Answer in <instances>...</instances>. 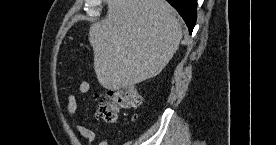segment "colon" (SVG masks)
Listing matches in <instances>:
<instances>
[{
    "mask_svg": "<svg viewBox=\"0 0 276 145\" xmlns=\"http://www.w3.org/2000/svg\"><path fill=\"white\" fill-rule=\"evenodd\" d=\"M95 101L98 115L108 122H116L121 109H135L141 106L143 95L134 85H125L96 94Z\"/></svg>",
    "mask_w": 276,
    "mask_h": 145,
    "instance_id": "colon-1",
    "label": "colon"
}]
</instances>
